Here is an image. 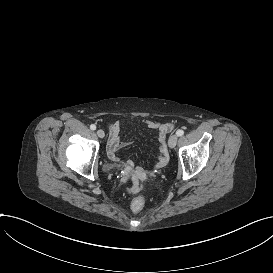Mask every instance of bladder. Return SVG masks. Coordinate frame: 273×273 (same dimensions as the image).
Returning a JSON list of instances; mask_svg holds the SVG:
<instances>
[{
	"label": "bladder",
	"instance_id": "1",
	"mask_svg": "<svg viewBox=\"0 0 273 273\" xmlns=\"http://www.w3.org/2000/svg\"><path fill=\"white\" fill-rule=\"evenodd\" d=\"M114 166L115 165L113 163L107 162L104 164V170L110 172L114 169Z\"/></svg>",
	"mask_w": 273,
	"mask_h": 273
}]
</instances>
